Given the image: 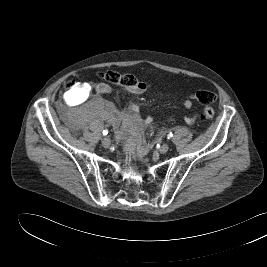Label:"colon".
I'll return each instance as SVG.
<instances>
[{
  "label": "colon",
  "instance_id": "1",
  "mask_svg": "<svg viewBox=\"0 0 267 267\" xmlns=\"http://www.w3.org/2000/svg\"><path fill=\"white\" fill-rule=\"evenodd\" d=\"M100 77L106 82L122 86L125 88H133L139 86L140 82L134 75L128 73H119L117 71H106L100 74ZM77 90H82L81 86L76 87ZM193 98L203 106V115L206 119L214 118V110L212 104L216 101V95L207 90H201L193 95Z\"/></svg>",
  "mask_w": 267,
  "mask_h": 267
}]
</instances>
